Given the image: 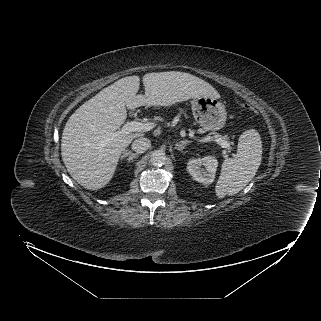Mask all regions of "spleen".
Masks as SVG:
<instances>
[{"label": "spleen", "instance_id": "obj_1", "mask_svg": "<svg viewBox=\"0 0 321 321\" xmlns=\"http://www.w3.org/2000/svg\"><path fill=\"white\" fill-rule=\"evenodd\" d=\"M261 160V137L255 129L246 130L239 138L237 155L222 164L215 186L216 196L224 198L240 192L254 178Z\"/></svg>", "mask_w": 321, "mask_h": 321}]
</instances>
